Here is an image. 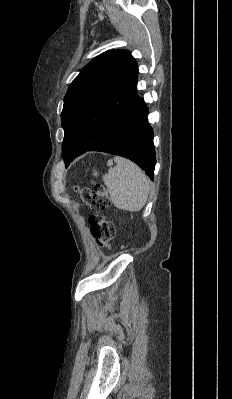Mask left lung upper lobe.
I'll return each instance as SVG.
<instances>
[{"label":"left lung upper lobe","instance_id":"1","mask_svg":"<svg viewBox=\"0 0 232 399\" xmlns=\"http://www.w3.org/2000/svg\"><path fill=\"white\" fill-rule=\"evenodd\" d=\"M138 67L127 50H109L73 80L61 113L66 166L116 126L137 99Z\"/></svg>","mask_w":232,"mask_h":399}]
</instances>
